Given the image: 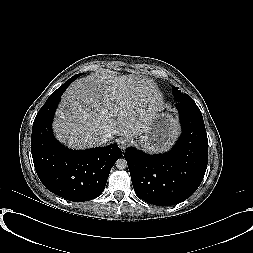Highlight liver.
Masks as SVG:
<instances>
[{"label": "liver", "instance_id": "1", "mask_svg": "<svg viewBox=\"0 0 253 253\" xmlns=\"http://www.w3.org/2000/svg\"><path fill=\"white\" fill-rule=\"evenodd\" d=\"M157 100L147 79L133 74H92L68 87L53 129L60 141L78 149L101 145L103 135L133 139L146 131Z\"/></svg>", "mask_w": 253, "mask_h": 253}]
</instances>
